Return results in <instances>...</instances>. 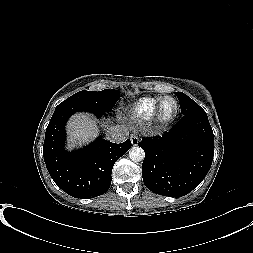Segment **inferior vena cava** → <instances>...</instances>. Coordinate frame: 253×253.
Returning <instances> with one entry per match:
<instances>
[{"instance_id": "1", "label": "inferior vena cava", "mask_w": 253, "mask_h": 253, "mask_svg": "<svg viewBox=\"0 0 253 253\" xmlns=\"http://www.w3.org/2000/svg\"><path fill=\"white\" fill-rule=\"evenodd\" d=\"M129 131L124 126H113L106 133V139L110 142L121 143L127 139Z\"/></svg>"}]
</instances>
